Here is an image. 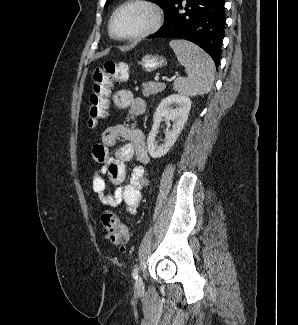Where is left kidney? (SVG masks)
<instances>
[{"mask_svg":"<svg viewBox=\"0 0 298 325\" xmlns=\"http://www.w3.org/2000/svg\"><path fill=\"white\" fill-rule=\"evenodd\" d=\"M192 100L182 94H168L162 98L153 114L152 130L147 138V146L152 158H160L167 154L179 136L190 114ZM172 120L171 130H166L163 144H156L155 136L158 132L161 120Z\"/></svg>","mask_w":298,"mask_h":325,"instance_id":"obj_1","label":"left kidney"}]
</instances>
